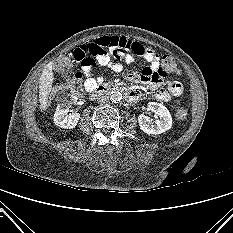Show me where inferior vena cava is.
Instances as JSON below:
<instances>
[{
  "instance_id": "1",
  "label": "inferior vena cava",
  "mask_w": 233,
  "mask_h": 233,
  "mask_svg": "<svg viewBox=\"0 0 233 233\" xmlns=\"http://www.w3.org/2000/svg\"><path fill=\"white\" fill-rule=\"evenodd\" d=\"M108 100H109V97L105 94H98L97 95V101L100 104H105L108 102Z\"/></svg>"
}]
</instances>
